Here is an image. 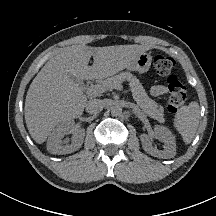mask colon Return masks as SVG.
Here are the masks:
<instances>
[{
	"label": "colon",
	"mask_w": 216,
	"mask_h": 216,
	"mask_svg": "<svg viewBox=\"0 0 216 216\" xmlns=\"http://www.w3.org/2000/svg\"><path fill=\"white\" fill-rule=\"evenodd\" d=\"M154 67L159 75L167 78L169 90L168 112L172 114L178 112L184 105L187 95L185 85L171 73L174 60L169 56L156 55L154 57Z\"/></svg>",
	"instance_id": "1"
}]
</instances>
